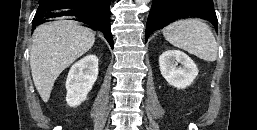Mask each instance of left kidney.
Segmentation results:
<instances>
[{
  "instance_id": "1",
  "label": "left kidney",
  "mask_w": 257,
  "mask_h": 130,
  "mask_svg": "<svg viewBox=\"0 0 257 130\" xmlns=\"http://www.w3.org/2000/svg\"><path fill=\"white\" fill-rule=\"evenodd\" d=\"M159 67L165 80L178 89L190 86L199 72L193 60L179 50L163 52L159 57Z\"/></svg>"
}]
</instances>
